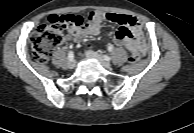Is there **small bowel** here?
Segmentation results:
<instances>
[{
	"label": "small bowel",
	"mask_w": 194,
	"mask_h": 133,
	"mask_svg": "<svg viewBox=\"0 0 194 133\" xmlns=\"http://www.w3.org/2000/svg\"><path fill=\"white\" fill-rule=\"evenodd\" d=\"M103 22H113L120 25L114 36L113 44L108 46L110 51L114 46H124L131 53L137 51L145 55L147 46L143 33L142 23L133 16L112 12H91L87 22L75 33H71L66 40L81 41L87 36H95L101 32Z\"/></svg>",
	"instance_id": "obj_1"
}]
</instances>
